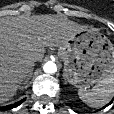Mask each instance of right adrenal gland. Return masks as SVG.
I'll use <instances>...</instances> for the list:
<instances>
[{"instance_id": "1", "label": "right adrenal gland", "mask_w": 114, "mask_h": 114, "mask_svg": "<svg viewBox=\"0 0 114 114\" xmlns=\"http://www.w3.org/2000/svg\"><path fill=\"white\" fill-rule=\"evenodd\" d=\"M32 74H33V68H32V70H31V72L29 73V75H28V77H27L25 83H28V82H29L30 78L32 77Z\"/></svg>"}]
</instances>
